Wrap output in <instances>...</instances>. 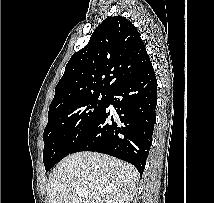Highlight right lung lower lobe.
Returning <instances> with one entry per match:
<instances>
[{
	"instance_id": "1",
	"label": "right lung lower lobe",
	"mask_w": 214,
	"mask_h": 203,
	"mask_svg": "<svg viewBox=\"0 0 214 203\" xmlns=\"http://www.w3.org/2000/svg\"><path fill=\"white\" fill-rule=\"evenodd\" d=\"M107 94L105 107L70 154L80 151L108 154L133 164L142 176L156 122L157 79L152 65ZM110 105L116 110L114 116Z\"/></svg>"
}]
</instances>
